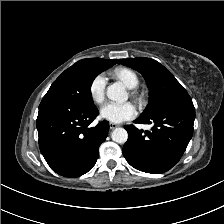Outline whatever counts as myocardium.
Listing matches in <instances>:
<instances>
[{"mask_svg": "<svg viewBox=\"0 0 224 224\" xmlns=\"http://www.w3.org/2000/svg\"><path fill=\"white\" fill-rule=\"evenodd\" d=\"M131 94L137 100H141L142 99V96L138 92H136V91H133Z\"/></svg>", "mask_w": 224, "mask_h": 224, "instance_id": "myocardium-1", "label": "myocardium"}]
</instances>
